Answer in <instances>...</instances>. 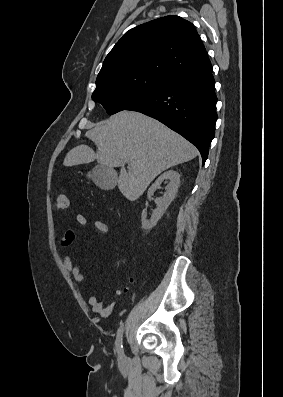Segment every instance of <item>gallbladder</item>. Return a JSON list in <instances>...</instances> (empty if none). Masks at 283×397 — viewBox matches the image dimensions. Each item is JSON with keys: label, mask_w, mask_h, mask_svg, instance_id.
Instances as JSON below:
<instances>
[{"label": "gallbladder", "mask_w": 283, "mask_h": 397, "mask_svg": "<svg viewBox=\"0 0 283 397\" xmlns=\"http://www.w3.org/2000/svg\"><path fill=\"white\" fill-rule=\"evenodd\" d=\"M93 181L103 190H112L117 183V174L114 169L98 165L93 169Z\"/></svg>", "instance_id": "obj_1"}]
</instances>
